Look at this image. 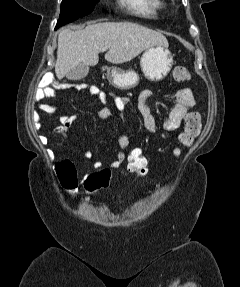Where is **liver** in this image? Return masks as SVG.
<instances>
[{"instance_id":"1","label":"liver","mask_w":240,"mask_h":287,"mask_svg":"<svg viewBox=\"0 0 240 287\" xmlns=\"http://www.w3.org/2000/svg\"><path fill=\"white\" fill-rule=\"evenodd\" d=\"M156 45L168 46L162 33L132 22L97 23L77 31L65 28L58 36L55 73L62 79L80 63L96 65L103 47L108 49V62L121 64Z\"/></svg>"}]
</instances>
